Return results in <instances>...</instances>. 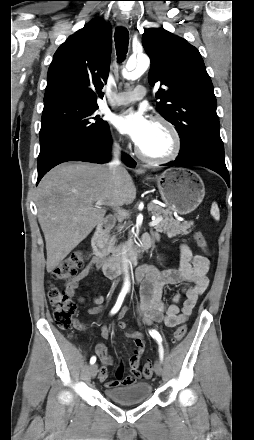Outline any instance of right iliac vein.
<instances>
[{
    "instance_id": "1",
    "label": "right iliac vein",
    "mask_w": 254,
    "mask_h": 440,
    "mask_svg": "<svg viewBox=\"0 0 254 440\" xmlns=\"http://www.w3.org/2000/svg\"><path fill=\"white\" fill-rule=\"evenodd\" d=\"M97 373H98V365L97 364H92L90 366V376L92 378H95Z\"/></svg>"
}]
</instances>
